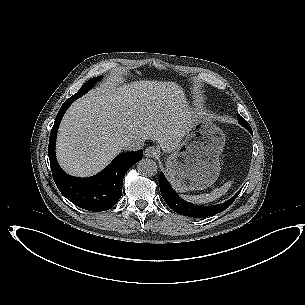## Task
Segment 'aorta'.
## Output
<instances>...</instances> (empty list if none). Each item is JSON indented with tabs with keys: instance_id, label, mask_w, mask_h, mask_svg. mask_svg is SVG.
I'll return each instance as SVG.
<instances>
[{
	"instance_id": "762f6f07",
	"label": "aorta",
	"mask_w": 305,
	"mask_h": 305,
	"mask_svg": "<svg viewBox=\"0 0 305 305\" xmlns=\"http://www.w3.org/2000/svg\"><path fill=\"white\" fill-rule=\"evenodd\" d=\"M137 170L145 177H152L157 174L158 166L155 161L143 158L137 163Z\"/></svg>"
}]
</instances>
